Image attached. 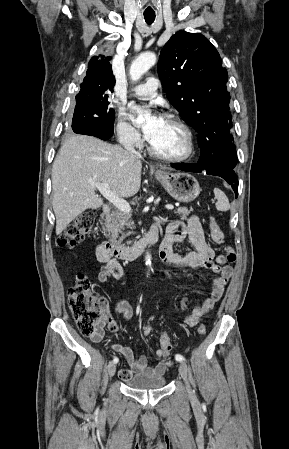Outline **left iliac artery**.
Returning a JSON list of instances; mask_svg holds the SVG:
<instances>
[{
  "label": "left iliac artery",
  "mask_w": 289,
  "mask_h": 449,
  "mask_svg": "<svg viewBox=\"0 0 289 449\" xmlns=\"http://www.w3.org/2000/svg\"><path fill=\"white\" fill-rule=\"evenodd\" d=\"M175 359L177 360V361H185V358L182 356V355H180V354H176L175 355Z\"/></svg>",
  "instance_id": "44dca946"
}]
</instances>
